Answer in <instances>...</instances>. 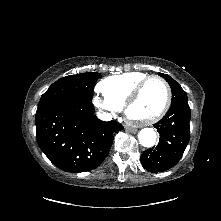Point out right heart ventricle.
Wrapping results in <instances>:
<instances>
[{
	"label": "right heart ventricle",
	"instance_id": "obj_1",
	"mask_svg": "<svg viewBox=\"0 0 221 221\" xmlns=\"http://www.w3.org/2000/svg\"><path fill=\"white\" fill-rule=\"evenodd\" d=\"M147 76L141 72H127L109 76L98 84L97 89L103 97L121 108L133 89Z\"/></svg>",
	"mask_w": 221,
	"mask_h": 221
}]
</instances>
